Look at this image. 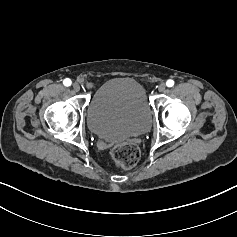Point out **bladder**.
Masks as SVG:
<instances>
[{
    "label": "bladder",
    "instance_id": "obj_1",
    "mask_svg": "<svg viewBox=\"0 0 237 237\" xmlns=\"http://www.w3.org/2000/svg\"><path fill=\"white\" fill-rule=\"evenodd\" d=\"M86 121L89 130L103 139L145 133L151 126L152 113L144 87L131 77L105 81L90 98Z\"/></svg>",
    "mask_w": 237,
    "mask_h": 237
}]
</instances>
